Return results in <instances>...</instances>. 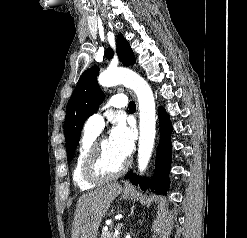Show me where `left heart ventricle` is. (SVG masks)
Returning a JSON list of instances; mask_svg holds the SVG:
<instances>
[{
	"mask_svg": "<svg viewBox=\"0 0 247 238\" xmlns=\"http://www.w3.org/2000/svg\"><path fill=\"white\" fill-rule=\"evenodd\" d=\"M125 162L113 148L109 139H106L102 145V166L105 170L113 172L117 171Z\"/></svg>",
	"mask_w": 247,
	"mask_h": 238,
	"instance_id": "b2bd125f",
	"label": "left heart ventricle"
}]
</instances>
